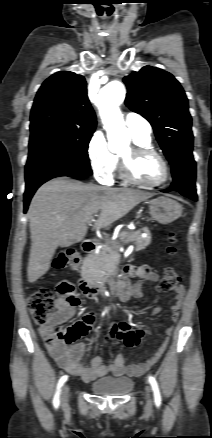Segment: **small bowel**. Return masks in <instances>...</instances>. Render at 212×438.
Here are the masks:
<instances>
[{
  "instance_id": "c3829d8e",
  "label": "small bowel",
  "mask_w": 212,
  "mask_h": 438,
  "mask_svg": "<svg viewBox=\"0 0 212 438\" xmlns=\"http://www.w3.org/2000/svg\"><path fill=\"white\" fill-rule=\"evenodd\" d=\"M133 277H138L139 280L134 285H130L128 279ZM158 279V273L147 265H128L118 286V297L122 302H128L132 298L142 299L145 296L143 284L145 282H156ZM64 285L72 286L68 281H62L58 284L57 290ZM184 294V287L179 285L176 289L174 303L171 306L172 324L166 329L167 336L172 334L173 324L177 321ZM78 305L79 302L69 304L60 299L52 321L48 325L40 326L39 328L40 335L50 354L59 366L69 374L81 378L84 382H91L107 374L114 376H139L153 366L164 353L169 341L168 337L155 349L154 354L145 361H135L127 364L123 355L118 352L114 360L109 364H104L101 356H95L89 365L84 364L81 359L85 351V344L78 342L70 345L71 343L59 340L53 331L54 325L62 324L72 319ZM160 310L161 304H157L151 313L155 316ZM81 321L86 324L89 330L95 321L94 312H88ZM144 334L143 329L133 330L126 322L112 323L109 325L107 341L117 340L124 343L127 347H133L141 342Z\"/></svg>"
}]
</instances>
